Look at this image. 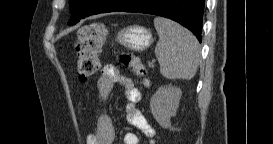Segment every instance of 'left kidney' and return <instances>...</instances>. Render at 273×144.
I'll return each instance as SVG.
<instances>
[{
  "label": "left kidney",
  "instance_id": "left-kidney-1",
  "mask_svg": "<svg viewBox=\"0 0 273 144\" xmlns=\"http://www.w3.org/2000/svg\"><path fill=\"white\" fill-rule=\"evenodd\" d=\"M181 99V90L178 87H159L151 97L150 109L155 120L163 128L171 125V117L176 115Z\"/></svg>",
  "mask_w": 273,
  "mask_h": 144
}]
</instances>
